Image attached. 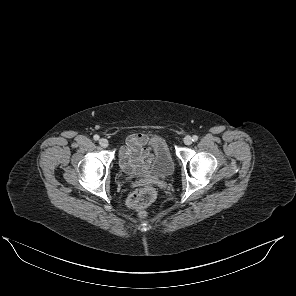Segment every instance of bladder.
I'll return each mask as SVG.
<instances>
[{"mask_svg": "<svg viewBox=\"0 0 296 296\" xmlns=\"http://www.w3.org/2000/svg\"><path fill=\"white\" fill-rule=\"evenodd\" d=\"M148 144L151 148L152 160L148 168L139 174L160 179L173 175L175 164L165 139L161 136H153Z\"/></svg>", "mask_w": 296, "mask_h": 296, "instance_id": "bladder-1", "label": "bladder"}]
</instances>
